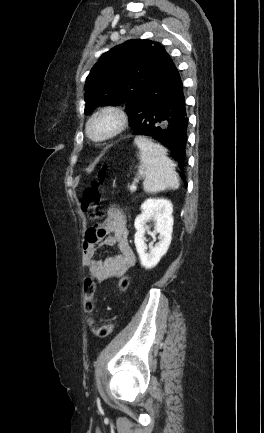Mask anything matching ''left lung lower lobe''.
Instances as JSON below:
<instances>
[{"mask_svg": "<svg viewBox=\"0 0 264 433\" xmlns=\"http://www.w3.org/2000/svg\"><path fill=\"white\" fill-rule=\"evenodd\" d=\"M134 135L151 137L171 151L184 175L188 118L183 83L170 59L156 78L139 94L128 113Z\"/></svg>", "mask_w": 264, "mask_h": 433, "instance_id": "0a47b994", "label": "left lung lower lobe"}]
</instances>
